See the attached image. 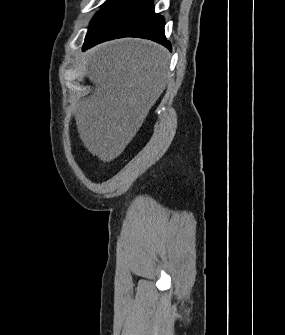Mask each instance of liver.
<instances>
[{
	"label": "liver",
	"mask_w": 285,
	"mask_h": 335,
	"mask_svg": "<svg viewBox=\"0 0 285 335\" xmlns=\"http://www.w3.org/2000/svg\"><path fill=\"white\" fill-rule=\"evenodd\" d=\"M169 52L148 40L124 38L83 54L96 92L79 104L76 126L85 148L102 162L124 152L163 94Z\"/></svg>",
	"instance_id": "liver-1"
}]
</instances>
